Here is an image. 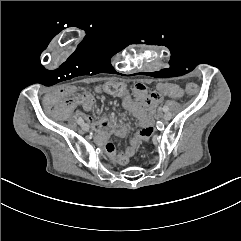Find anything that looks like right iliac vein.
I'll list each match as a JSON object with an SVG mask.
<instances>
[{"label":"right iliac vein","mask_w":241,"mask_h":241,"mask_svg":"<svg viewBox=\"0 0 241 241\" xmlns=\"http://www.w3.org/2000/svg\"><path fill=\"white\" fill-rule=\"evenodd\" d=\"M81 128H82L83 131H88V130H89V125L86 124V123H83V124L81 125Z\"/></svg>","instance_id":"obj_1"}]
</instances>
